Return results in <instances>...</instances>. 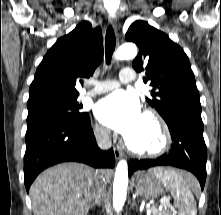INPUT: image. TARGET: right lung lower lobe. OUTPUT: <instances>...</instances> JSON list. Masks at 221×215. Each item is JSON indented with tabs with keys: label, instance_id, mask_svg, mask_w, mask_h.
Returning <instances> with one entry per match:
<instances>
[{
	"label": "right lung lower lobe",
	"instance_id": "obj_1",
	"mask_svg": "<svg viewBox=\"0 0 221 215\" xmlns=\"http://www.w3.org/2000/svg\"><path fill=\"white\" fill-rule=\"evenodd\" d=\"M24 156V183L27 192L44 169L68 161L82 162L96 168H113L112 149L98 148L89 116L72 119L52 117L27 126Z\"/></svg>",
	"mask_w": 221,
	"mask_h": 215
}]
</instances>
